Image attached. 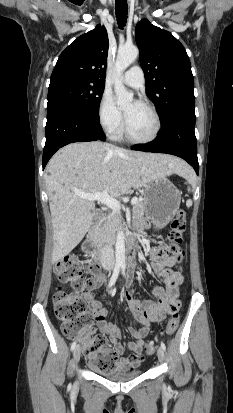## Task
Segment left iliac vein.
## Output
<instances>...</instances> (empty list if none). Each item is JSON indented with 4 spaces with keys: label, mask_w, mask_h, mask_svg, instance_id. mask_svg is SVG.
Segmentation results:
<instances>
[{
    "label": "left iliac vein",
    "mask_w": 233,
    "mask_h": 413,
    "mask_svg": "<svg viewBox=\"0 0 233 413\" xmlns=\"http://www.w3.org/2000/svg\"><path fill=\"white\" fill-rule=\"evenodd\" d=\"M157 356L160 362H162L165 358L164 350L161 347L157 350Z\"/></svg>",
    "instance_id": "1"
}]
</instances>
